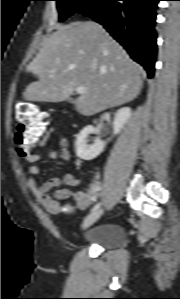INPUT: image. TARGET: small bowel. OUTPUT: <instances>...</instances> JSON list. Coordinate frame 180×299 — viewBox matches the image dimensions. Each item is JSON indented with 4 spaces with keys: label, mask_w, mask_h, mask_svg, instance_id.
Wrapping results in <instances>:
<instances>
[{
    "label": "small bowel",
    "mask_w": 180,
    "mask_h": 299,
    "mask_svg": "<svg viewBox=\"0 0 180 299\" xmlns=\"http://www.w3.org/2000/svg\"><path fill=\"white\" fill-rule=\"evenodd\" d=\"M58 133V129L55 127L47 128L42 135L36 140L34 148H42L46 145L48 138ZM26 161L30 162L29 173L31 176L38 175L40 173V167L36 164L42 159H61L64 162L70 160V152L68 149V142L65 138L60 139L59 148L57 150H51L46 152L44 155H26L22 156ZM65 183L68 185V188L62 189L57 192V196L60 198H70L73 197L77 206L80 209H84L94 202L96 198V193L99 188V181L95 179L91 182L89 188L86 191H77L74 192L71 187H75L79 184V179L73 174L65 175ZM61 184V179L59 177H51L46 180L42 185H38L33 177H29L27 180V185L33 195L37 198L39 203L43 208L51 214L58 212L59 205L53 201L49 196L48 192L59 187Z\"/></svg>",
    "instance_id": "obj_1"
}]
</instances>
